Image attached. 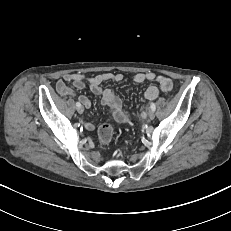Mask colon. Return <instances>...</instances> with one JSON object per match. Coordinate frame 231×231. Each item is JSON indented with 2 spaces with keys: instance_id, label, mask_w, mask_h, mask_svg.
I'll list each match as a JSON object with an SVG mask.
<instances>
[{
  "instance_id": "colon-1",
  "label": "colon",
  "mask_w": 231,
  "mask_h": 231,
  "mask_svg": "<svg viewBox=\"0 0 231 231\" xmlns=\"http://www.w3.org/2000/svg\"><path fill=\"white\" fill-rule=\"evenodd\" d=\"M173 90V86L168 88V92ZM98 136L103 144H108L113 137V128L109 124L102 125L98 131Z\"/></svg>"
}]
</instances>
